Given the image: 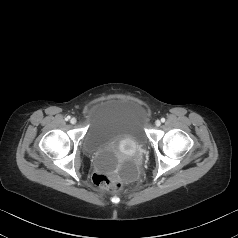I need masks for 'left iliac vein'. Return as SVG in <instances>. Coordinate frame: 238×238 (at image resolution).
Listing matches in <instances>:
<instances>
[{
	"mask_svg": "<svg viewBox=\"0 0 238 238\" xmlns=\"http://www.w3.org/2000/svg\"><path fill=\"white\" fill-rule=\"evenodd\" d=\"M155 125H156V126H160V125H161V121H160V120H157V121L155 122Z\"/></svg>",
	"mask_w": 238,
	"mask_h": 238,
	"instance_id": "4c4485c4",
	"label": "left iliac vein"
}]
</instances>
